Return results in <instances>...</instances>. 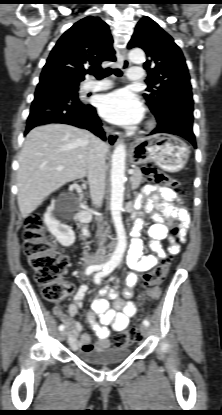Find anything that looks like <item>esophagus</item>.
<instances>
[{
  "label": "esophagus",
  "mask_w": 222,
  "mask_h": 415,
  "mask_svg": "<svg viewBox=\"0 0 222 415\" xmlns=\"http://www.w3.org/2000/svg\"><path fill=\"white\" fill-rule=\"evenodd\" d=\"M121 57H122V68L127 69L131 63L127 57V52L125 49L121 51ZM120 140V134L118 132H109L107 134V141L111 145H116Z\"/></svg>",
  "instance_id": "34e87169"
}]
</instances>
